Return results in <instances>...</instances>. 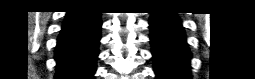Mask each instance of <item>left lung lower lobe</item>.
<instances>
[{
	"instance_id": "1",
	"label": "left lung lower lobe",
	"mask_w": 255,
	"mask_h": 79,
	"mask_svg": "<svg viewBox=\"0 0 255 79\" xmlns=\"http://www.w3.org/2000/svg\"><path fill=\"white\" fill-rule=\"evenodd\" d=\"M149 23L157 79H189L191 55L180 19L172 12H156Z\"/></svg>"
}]
</instances>
